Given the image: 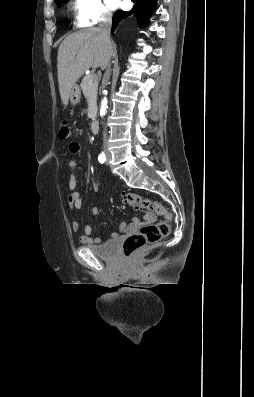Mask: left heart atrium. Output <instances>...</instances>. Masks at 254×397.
Listing matches in <instances>:
<instances>
[{"label": "left heart atrium", "mask_w": 254, "mask_h": 397, "mask_svg": "<svg viewBox=\"0 0 254 397\" xmlns=\"http://www.w3.org/2000/svg\"><path fill=\"white\" fill-rule=\"evenodd\" d=\"M107 3L110 8L114 9L119 6L120 0H107Z\"/></svg>", "instance_id": "39dd6f15"}]
</instances>
